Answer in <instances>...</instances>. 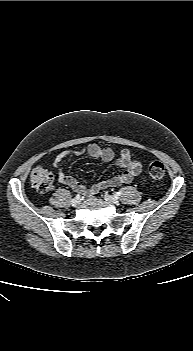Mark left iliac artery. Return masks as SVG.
Listing matches in <instances>:
<instances>
[{
    "label": "left iliac artery",
    "instance_id": "1",
    "mask_svg": "<svg viewBox=\"0 0 193 351\" xmlns=\"http://www.w3.org/2000/svg\"><path fill=\"white\" fill-rule=\"evenodd\" d=\"M122 192L121 191H118V192H115L114 196L115 198H118L119 196H121Z\"/></svg>",
    "mask_w": 193,
    "mask_h": 351
}]
</instances>
